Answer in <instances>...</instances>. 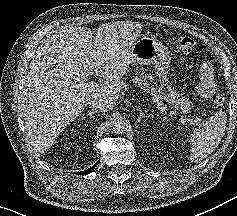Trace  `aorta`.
<instances>
[{
	"instance_id": "aorta-1",
	"label": "aorta",
	"mask_w": 237,
	"mask_h": 216,
	"mask_svg": "<svg viewBox=\"0 0 237 216\" xmlns=\"http://www.w3.org/2000/svg\"><path fill=\"white\" fill-rule=\"evenodd\" d=\"M128 129L127 120L121 115L115 116L112 121V130L115 133L123 134Z\"/></svg>"
}]
</instances>
